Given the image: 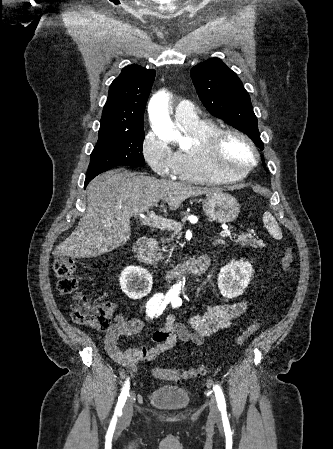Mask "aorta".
I'll list each match as a JSON object with an SVG mask.
<instances>
[{
	"mask_svg": "<svg viewBox=\"0 0 333 449\" xmlns=\"http://www.w3.org/2000/svg\"><path fill=\"white\" fill-rule=\"evenodd\" d=\"M168 93L160 91L151 99L148 113L153 126V130L159 137L168 140H182L180 132L173 126L169 117ZM183 291V285L178 283L172 289V293L177 295Z\"/></svg>",
	"mask_w": 333,
	"mask_h": 449,
	"instance_id": "762f6f07",
	"label": "aorta"
}]
</instances>
